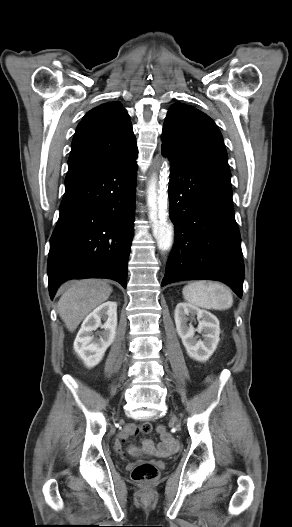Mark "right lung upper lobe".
Segmentation results:
<instances>
[{
	"instance_id": "1",
	"label": "right lung upper lobe",
	"mask_w": 292,
	"mask_h": 527,
	"mask_svg": "<svg viewBox=\"0 0 292 527\" xmlns=\"http://www.w3.org/2000/svg\"><path fill=\"white\" fill-rule=\"evenodd\" d=\"M137 152L131 121L119 102L90 110L75 132L68 166L115 161Z\"/></svg>"
}]
</instances>
